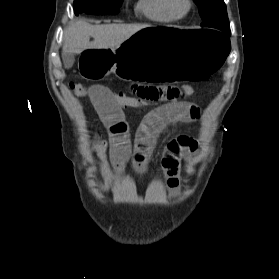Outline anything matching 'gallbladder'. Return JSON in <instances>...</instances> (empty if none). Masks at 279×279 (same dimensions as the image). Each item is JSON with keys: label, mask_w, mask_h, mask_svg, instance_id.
<instances>
[{"label": "gallbladder", "mask_w": 279, "mask_h": 279, "mask_svg": "<svg viewBox=\"0 0 279 279\" xmlns=\"http://www.w3.org/2000/svg\"><path fill=\"white\" fill-rule=\"evenodd\" d=\"M62 59H63L65 68L69 69L73 66V64L75 62V55L71 54V53L63 52Z\"/></svg>", "instance_id": "gallbladder-1"}]
</instances>
